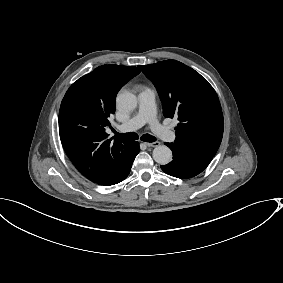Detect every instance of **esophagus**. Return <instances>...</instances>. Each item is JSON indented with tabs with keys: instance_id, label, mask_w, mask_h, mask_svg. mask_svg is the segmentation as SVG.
<instances>
[{
	"instance_id": "34e87169",
	"label": "esophagus",
	"mask_w": 283,
	"mask_h": 283,
	"mask_svg": "<svg viewBox=\"0 0 283 283\" xmlns=\"http://www.w3.org/2000/svg\"><path fill=\"white\" fill-rule=\"evenodd\" d=\"M146 144V146H148V147H157V146H159L160 145V142H147V143H145Z\"/></svg>"
}]
</instances>
